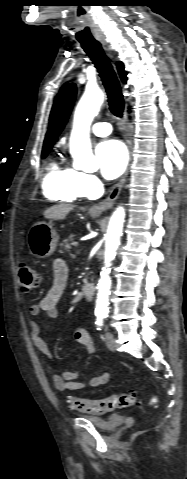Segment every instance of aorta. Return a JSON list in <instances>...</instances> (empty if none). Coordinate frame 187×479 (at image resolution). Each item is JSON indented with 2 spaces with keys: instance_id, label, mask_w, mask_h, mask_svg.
<instances>
[{
  "instance_id": "762f6f07",
  "label": "aorta",
  "mask_w": 187,
  "mask_h": 479,
  "mask_svg": "<svg viewBox=\"0 0 187 479\" xmlns=\"http://www.w3.org/2000/svg\"><path fill=\"white\" fill-rule=\"evenodd\" d=\"M103 101L104 94L99 88L88 87L74 114L73 129L70 136V153L74 159V167L87 173L96 172L99 168L98 161L92 154L89 131ZM124 221L125 209L118 207L111 216L106 234L105 265L100 273L96 300L95 312L97 315H106L109 312L110 266L115 259L116 250L120 244Z\"/></svg>"
}]
</instances>
